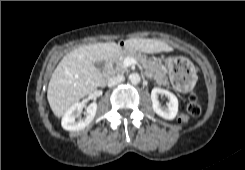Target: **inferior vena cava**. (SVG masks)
<instances>
[{"instance_id":"inferior-vena-cava-1","label":"inferior vena cava","mask_w":245,"mask_h":170,"mask_svg":"<svg viewBox=\"0 0 245 170\" xmlns=\"http://www.w3.org/2000/svg\"><path fill=\"white\" fill-rule=\"evenodd\" d=\"M124 80H125V77L123 75L112 76L111 78H109L107 85L108 87H113L123 82Z\"/></svg>"}]
</instances>
